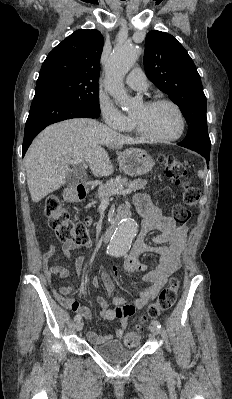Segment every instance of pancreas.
Masks as SVG:
<instances>
[{"label":"pancreas","mask_w":232,"mask_h":399,"mask_svg":"<svg viewBox=\"0 0 232 399\" xmlns=\"http://www.w3.org/2000/svg\"><path fill=\"white\" fill-rule=\"evenodd\" d=\"M147 184V180H134V182H128L126 178H116V180H108L106 184H101L99 186V190L96 194L97 198L99 200H104V198H107V196H110L112 190H121V186H128V188H131L132 192H136V190H142V188H145Z\"/></svg>","instance_id":"1"}]
</instances>
